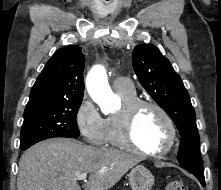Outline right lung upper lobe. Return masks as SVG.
I'll use <instances>...</instances> for the list:
<instances>
[{"mask_svg": "<svg viewBox=\"0 0 221 190\" xmlns=\"http://www.w3.org/2000/svg\"><path fill=\"white\" fill-rule=\"evenodd\" d=\"M84 65L85 56L78 45L57 50L38 76L27 105L82 101Z\"/></svg>", "mask_w": 221, "mask_h": 190, "instance_id": "1", "label": "right lung upper lobe"}]
</instances>
